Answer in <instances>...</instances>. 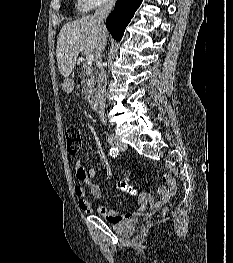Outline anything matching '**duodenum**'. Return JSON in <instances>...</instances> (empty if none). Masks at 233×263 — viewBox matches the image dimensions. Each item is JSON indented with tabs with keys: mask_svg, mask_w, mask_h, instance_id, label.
<instances>
[{
	"mask_svg": "<svg viewBox=\"0 0 233 263\" xmlns=\"http://www.w3.org/2000/svg\"><path fill=\"white\" fill-rule=\"evenodd\" d=\"M95 87H97V82H94V80H87V85L84 86V89L87 90V98L89 99L91 108L93 111L98 112L99 103L102 102V99L99 98L98 95H94L98 93V90L95 89Z\"/></svg>",
	"mask_w": 233,
	"mask_h": 263,
	"instance_id": "obj_1",
	"label": "duodenum"
}]
</instances>
